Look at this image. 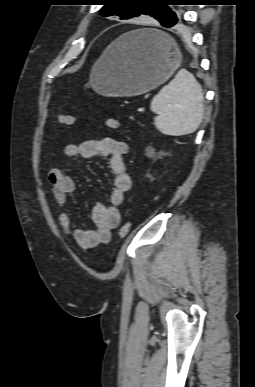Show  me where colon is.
Listing matches in <instances>:
<instances>
[{"instance_id": "1", "label": "colon", "mask_w": 255, "mask_h": 387, "mask_svg": "<svg viewBox=\"0 0 255 387\" xmlns=\"http://www.w3.org/2000/svg\"><path fill=\"white\" fill-rule=\"evenodd\" d=\"M61 122L66 125H72L74 123V117L70 115H63L60 118ZM106 127L111 130H118L120 128V122L115 118H107L104 121ZM131 229L130 223H124L120 226L118 230V235L121 238L126 237Z\"/></svg>"}]
</instances>
